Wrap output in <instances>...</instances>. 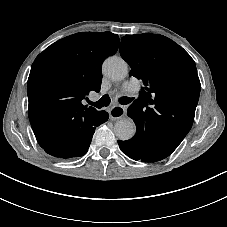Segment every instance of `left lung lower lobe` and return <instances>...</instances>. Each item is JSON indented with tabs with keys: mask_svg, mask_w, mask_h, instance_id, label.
<instances>
[{
	"mask_svg": "<svg viewBox=\"0 0 227 227\" xmlns=\"http://www.w3.org/2000/svg\"><path fill=\"white\" fill-rule=\"evenodd\" d=\"M120 149L130 158L143 162H156L168 157L174 149L155 142L145 132L137 129L135 136L126 141H118Z\"/></svg>",
	"mask_w": 227,
	"mask_h": 227,
	"instance_id": "1",
	"label": "left lung lower lobe"
}]
</instances>
